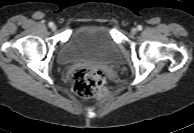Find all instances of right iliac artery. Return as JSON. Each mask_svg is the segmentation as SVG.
<instances>
[{
	"mask_svg": "<svg viewBox=\"0 0 194 133\" xmlns=\"http://www.w3.org/2000/svg\"><path fill=\"white\" fill-rule=\"evenodd\" d=\"M53 23L52 22H49V26L52 27Z\"/></svg>",
	"mask_w": 194,
	"mask_h": 133,
	"instance_id": "right-iliac-artery-1",
	"label": "right iliac artery"
}]
</instances>
